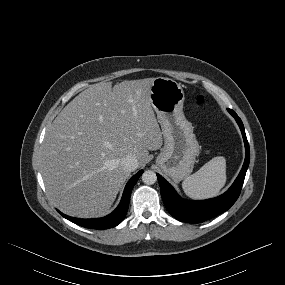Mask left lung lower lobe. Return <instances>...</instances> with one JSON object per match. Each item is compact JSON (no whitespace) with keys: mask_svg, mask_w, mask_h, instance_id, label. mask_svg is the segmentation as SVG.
Wrapping results in <instances>:
<instances>
[{"mask_svg":"<svg viewBox=\"0 0 285 285\" xmlns=\"http://www.w3.org/2000/svg\"><path fill=\"white\" fill-rule=\"evenodd\" d=\"M228 111L232 116H234L241 129L245 143L246 155L243 167L238 177L224 194L208 200H186L178 196L173 187L164 178L157 174L164 205L169 213L179 221L188 223L204 222L228 210L240 195L250 161V149L241 119L233 110L228 109Z\"/></svg>","mask_w":285,"mask_h":285,"instance_id":"obj_1","label":"left lung lower lobe"}]
</instances>
